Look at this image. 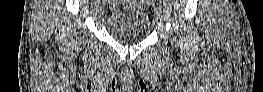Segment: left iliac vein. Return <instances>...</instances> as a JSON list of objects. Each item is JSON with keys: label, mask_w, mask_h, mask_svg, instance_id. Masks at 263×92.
I'll list each match as a JSON object with an SVG mask.
<instances>
[{"label": "left iliac vein", "mask_w": 263, "mask_h": 92, "mask_svg": "<svg viewBox=\"0 0 263 92\" xmlns=\"http://www.w3.org/2000/svg\"><path fill=\"white\" fill-rule=\"evenodd\" d=\"M162 3L163 0H156V2H154V8H155V18H160L161 12H162Z\"/></svg>", "instance_id": "1"}]
</instances>
